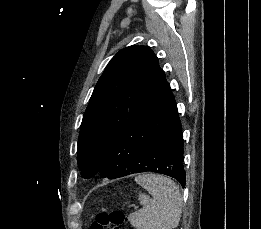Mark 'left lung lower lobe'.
Segmentation results:
<instances>
[{
	"label": "left lung lower lobe",
	"instance_id": "1",
	"mask_svg": "<svg viewBox=\"0 0 261 229\" xmlns=\"http://www.w3.org/2000/svg\"><path fill=\"white\" fill-rule=\"evenodd\" d=\"M184 142L172 90L166 82L124 128L97 174L108 179L139 172L175 178L184 187Z\"/></svg>",
	"mask_w": 261,
	"mask_h": 229
}]
</instances>
